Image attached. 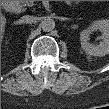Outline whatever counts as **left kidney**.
I'll use <instances>...</instances> for the list:
<instances>
[{"label":"left kidney","instance_id":"1","mask_svg":"<svg viewBox=\"0 0 109 109\" xmlns=\"http://www.w3.org/2000/svg\"><path fill=\"white\" fill-rule=\"evenodd\" d=\"M99 30L102 33L99 45L89 43V34ZM80 41L82 49L92 56H105L109 53V22L107 20L94 21L87 29L80 33Z\"/></svg>","mask_w":109,"mask_h":109}]
</instances>
